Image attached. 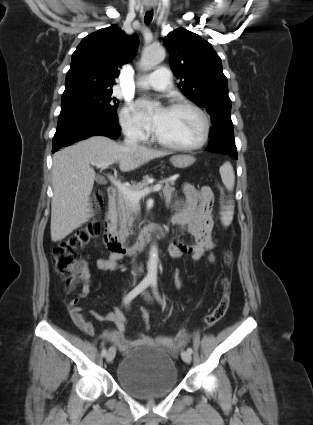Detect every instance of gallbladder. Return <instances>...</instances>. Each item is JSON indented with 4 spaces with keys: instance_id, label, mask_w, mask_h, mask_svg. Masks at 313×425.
Here are the masks:
<instances>
[{
    "instance_id": "obj_1",
    "label": "gallbladder",
    "mask_w": 313,
    "mask_h": 425,
    "mask_svg": "<svg viewBox=\"0 0 313 425\" xmlns=\"http://www.w3.org/2000/svg\"><path fill=\"white\" fill-rule=\"evenodd\" d=\"M96 181H97L98 183H100V184H103V183H104V180H103L100 176H97V177H96Z\"/></svg>"
}]
</instances>
